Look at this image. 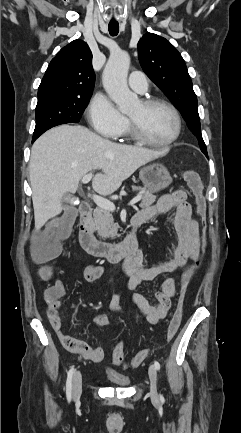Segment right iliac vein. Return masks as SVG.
Returning a JSON list of instances; mask_svg holds the SVG:
<instances>
[{
	"mask_svg": "<svg viewBox=\"0 0 241 433\" xmlns=\"http://www.w3.org/2000/svg\"><path fill=\"white\" fill-rule=\"evenodd\" d=\"M73 399L78 400L82 394V375L80 371H76L73 377Z\"/></svg>",
	"mask_w": 241,
	"mask_h": 433,
	"instance_id": "1",
	"label": "right iliac vein"
}]
</instances>
